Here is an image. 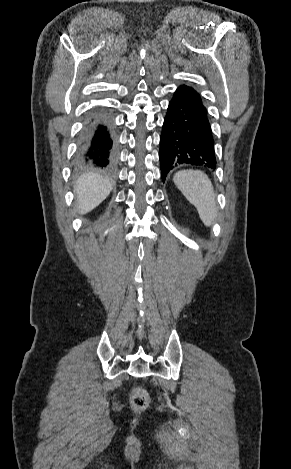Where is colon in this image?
I'll use <instances>...</instances> for the list:
<instances>
[{"mask_svg": "<svg viewBox=\"0 0 291 469\" xmlns=\"http://www.w3.org/2000/svg\"><path fill=\"white\" fill-rule=\"evenodd\" d=\"M130 400L133 408L143 409L148 405L149 397L143 388L136 387L131 392Z\"/></svg>", "mask_w": 291, "mask_h": 469, "instance_id": "obj_1", "label": "colon"}]
</instances>
